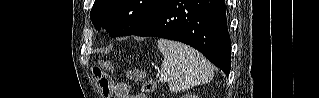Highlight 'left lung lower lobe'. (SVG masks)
Wrapping results in <instances>:
<instances>
[{"label":"left lung lower lobe","instance_id":"0a47b994","mask_svg":"<svg viewBox=\"0 0 319 98\" xmlns=\"http://www.w3.org/2000/svg\"><path fill=\"white\" fill-rule=\"evenodd\" d=\"M133 35L186 43L229 75L231 45L223 0H161Z\"/></svg>","mask_w":319,"mask_h":98}]
</instances>
